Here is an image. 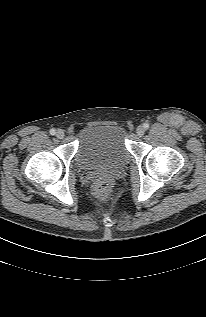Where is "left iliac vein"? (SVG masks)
<instances>
[{
  "label": "left iliac vein",
  "mask_w": 206,
  "mask_h": 317,
  "mask_svg": "<svg viewBox=\"0 0 206 317\" xmlns=\"http://www.w3.org/2000/svg\"><path fill=\"white\" fill-rule=\"evenodd\" d=\"M145 133V129L142 127V126H139L137 127L136 129V134L139 136V137H142Z\"/></svg>",
  "instance_id": "obj_1"
}]
</instances>
